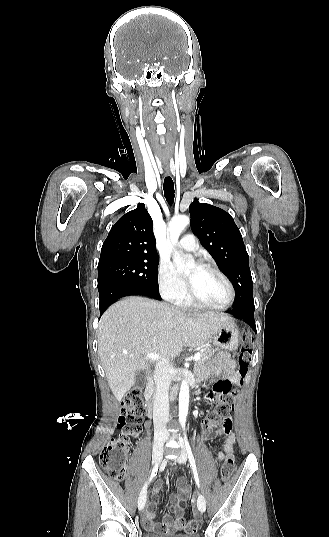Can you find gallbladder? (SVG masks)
I'll use <instances>...</instances> for the list:
<instances>
[{
	"instance_id": "bac80fb5",
	"label": "gallbladder",
	"mask_w": 329,
	"mask_h": 537,
	"mask_svg": "<svg viewBox=\"0 0 329 537\" xmlns=\"http://www.w3.org/2000/svg\"><path fill=\"white\" fill-rule=\"evenodd\" d=\"M146 370H139L135 377L134 388L143 390L146 386Z\"/></svg>"
}]
</instances>
